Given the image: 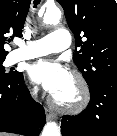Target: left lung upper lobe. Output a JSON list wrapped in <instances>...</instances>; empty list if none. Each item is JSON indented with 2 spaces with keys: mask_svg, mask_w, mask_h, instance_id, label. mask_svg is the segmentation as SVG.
Here are the masks:
<instances>
[{
  "mask_svg": "<svg viewBox=\"0 0 117 136\" xmlns=\"http://www.w3.org/2000/svg\"><path fill=\"white\" fill-rule=\"evenodd\" d=\"M63 7L79 50L73 55L89 89L117 75L115 0H57ZM83 38V39H82Z\"/></svg>",
  "mask_w": 117,
  "mask_h": 136,
  "instance_id": "1",
  "label": "left lung upper lobe"
}]
</instances>
